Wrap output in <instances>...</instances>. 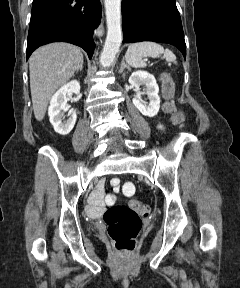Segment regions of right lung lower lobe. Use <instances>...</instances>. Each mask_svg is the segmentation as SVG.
Returning <instances> with one entry per match:
<instances>
[{"label": "right lung lower lobe", "mask_w": 240, "mask_h": 288, "mask_svg": "<svg viewBox=\"0 0 240 288\" xmlns=\"http://www.w3.org/2000/svg\"><path fill=\"white\" fill-rule=\"evenodd\" d=\"M100 20L99 0H33L27 59L39 46L61 41L82 47L91 59Z\"/></svg>", "instance_id": "obj_1"}]
</instances>
